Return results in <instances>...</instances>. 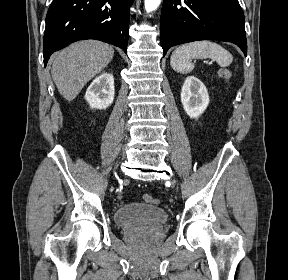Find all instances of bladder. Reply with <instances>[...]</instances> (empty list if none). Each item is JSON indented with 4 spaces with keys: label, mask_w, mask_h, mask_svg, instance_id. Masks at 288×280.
<instances>
[{
    "label": "bladder",
    "mask_w": 288,
    "mask_h": 280,
    "mask_svg": "<svg viewBox=\"0 0 288 280\" xmlns=\"http://www.w3.org/2000/svg\"><path fill=\"white\" fill-rule=\"evenodd\" d=\"M113 218L115 223L120 227L152 231L162 228L168 216L158 206L130 203L116 209Z\"/></svg>",
    "instance_id": "obj_1"
}]
</instances>
